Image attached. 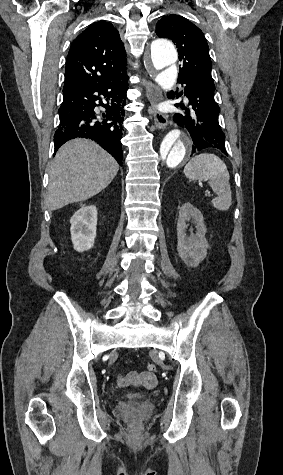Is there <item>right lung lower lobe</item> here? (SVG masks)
Masks as SVG:
<instances>
[{
	"label": "right lung lower lobe",
	"mask_w": 283,
	"mask_h": 475,
	"mask_svg": "<svg viewBox=\"0 0 283 475\" xmlns=\"http://www.w3.org/2000/svg\"><path fill=\"white\" fill-rule=\"evenodd\" d=\"M128 76L106 82L85 83L63 89L60 123L54 135L55 150L77 137L96 141L122 165L123 107ZM105 110L99 112L96 107ZM55 155V154H54Z\"/></svg>",
	"instance_id": "right-lung-lower-lobe-1"
}]
</instances>
